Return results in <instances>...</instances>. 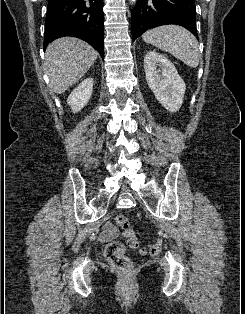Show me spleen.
Returning <instances> with one entry per match:
<instances>
[{"instance_id": "spleen-1", "label": "spleen", "mask_w": 245, "mask_h": 314, "mask_svg": "<svg viewBox=\"0 0 245 314\" xmlns=\"http://www.w3.org/2000/svg\"><path fill=\"white\" fill-rule=\"evenodd\" d=\"M149 44L166 51L181 60L189 67L196 68L200 55L196 37L185 28L178 25H164L150 29L142 35Z\"/></svg>"}]
</instances>
